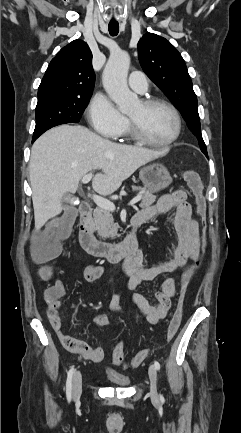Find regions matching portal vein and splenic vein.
<instances>
[{
	"label": "portal vein and splenic vein",
	"instance_id": "obj_1",
	"mask_svg": "<svg viewBox=\"0 0 241 433\" xmlns=\"http://www.w3.org/2000/svg\"><path fill=\"white\" fill-rule=\"evenodd\" d=\"M92 177H93L92 173L86 174V175L82 178L81 182H82L83 184H87V183L90 182V180L92 179ZM92 198H93V201L95 202V204H96L98 207L103 208V209H106V210H109V211H111V212H113V211L115 210V205H114V203L111 202L110 200H107V199H105V198H103V197H101V196H98V195H93ZM141 198H142V196H140V195L136 196L135 198H133V199L130 201L129 205H130V206H134L136 203H138V202L141 200Z\"/></svg>",
	"mask_w": 241,
	"mask_h": 433
}]
</instances>
